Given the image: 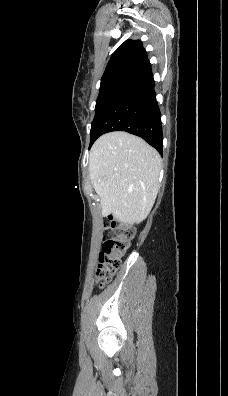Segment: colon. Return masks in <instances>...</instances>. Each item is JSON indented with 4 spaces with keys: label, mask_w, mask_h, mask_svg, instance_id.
<instances>
[{
    "label": "colon",
    "mask_w": 228,
    "mask_h": 396,
    "mask_svg": "<svg viewBox=\"0 0 228 396\" xmlns=\"http://www.w3.org/2000/svg\"><path fill=\"white\" fill-rule=\"evenodd\" d=\"M106 233L108 238L102 245L95 274L100 286L107 283L120 268L121 256L127 251L129 241L134 236L133 229L113 217L108 218Z\"/></svg>",
    "instance_id": "obj_1"
}]
</instances>
